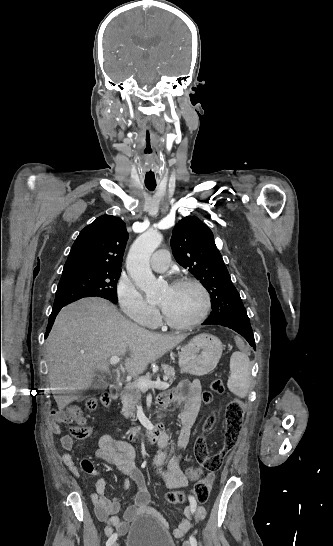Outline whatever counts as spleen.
I'll use <instances>...</instances> for the list:
<instances>
[{
	"mask_svg": "<svg viewBox=\"0 0 333 546\" xmlns=\"http://www.w3.org/2000/svg\"><path fill=\"white\" fill-rule=\"evenodd\" d=\"M251 365L243 352H234L230 358V376L227 386L235 395L244 398L250 389Z\"/></svg>",
	"mask_w": 333,
	"mask_h": 546,
	"instance_id": "3e777b00",
	"label": "spleen"
}]
</instances>
